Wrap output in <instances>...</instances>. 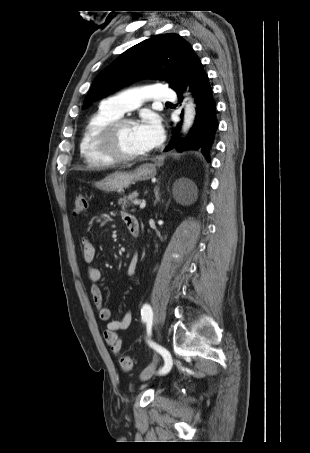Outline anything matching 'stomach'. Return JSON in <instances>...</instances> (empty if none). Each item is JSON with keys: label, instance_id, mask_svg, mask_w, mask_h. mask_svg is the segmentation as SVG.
<instances>
[{"label": "stomach", "instance_id": "1", "mask_svg": "<svg viewBox=\"0 0 310 453\" xmlns=\"http://www.w3.org/2000/svg\"><path fill=\"white\" fill-rule=\"evenodd\" d=\"M157 166H160V163H146L132 172H116L98 182L96 186L108 192H121L136 181H144L154 177L157 173Z\"/></svg>", "mask_w": 310, "mask_h": 453}]
</instances>
